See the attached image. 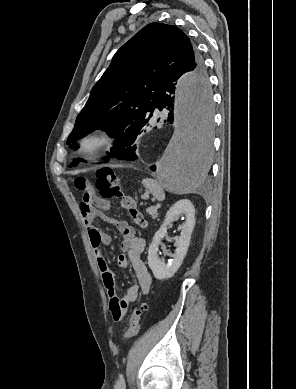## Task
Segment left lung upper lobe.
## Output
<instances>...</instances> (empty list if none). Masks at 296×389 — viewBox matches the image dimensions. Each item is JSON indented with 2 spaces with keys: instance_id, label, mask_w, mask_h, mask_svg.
<instances>
[{
  "instance_id": "5c2ea615",
  "label": "left lung upper lobe",
  "mask_w": 296,
  "mask_h": 389,
  "mask_svg": "<svg viewBox=\"0 0 296 389\" xmlns=\"http://www.w3.org/2000/svg\"><path fill=\"white\" fill-rule=\"evenodd\" d=\"M184 73L205 77L209 86L203 61L187 35L173 25L148 24L116 52L77 116L67 144L95 128L120 139L131 124L149 122L160 87Z\"/></svg>"
}]
</instances>
